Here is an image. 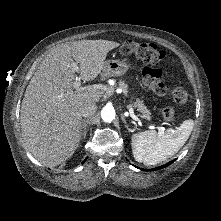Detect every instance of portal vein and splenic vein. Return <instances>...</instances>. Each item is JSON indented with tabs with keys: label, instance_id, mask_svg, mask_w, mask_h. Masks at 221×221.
Wrapping results in <instances>:
<instances>
[{
	"label": "portal vein and splenic vein",
	"instance_id": "1",
	"mask_svg": "<svg viewBox=\"0 0 221 221\" xmlns=\"http://www.w3.org/2000/svg\"><path fill=\"white\" fill-rule=\"evenodd\" d=\"M72 67L74 68V70H75L76 72H78V66H77V64L73 63V64H72ZM73 87H74V89H76L77 91H83L84 89H88V90H89L90 88H92V87L82 88V87H81V81L78 80V79H76V81L73 82ZM129 113H130V116H131L135 121L141 122V120L134 114L133 109H130V110H129ZM151 128H154V127L152 126ZM156 129H158L159 134H162L163 131L165 130L164 127H160V126H157Z\"/></svg>",
	"mask_w": 221,
	"mask_h": 221
}]
</instances>
